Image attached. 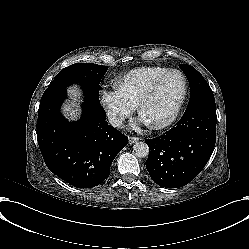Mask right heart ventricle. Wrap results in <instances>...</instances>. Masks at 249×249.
Returning <instances> with one entry per match:
<instances>
[{"mask_svg": "<svg viewBox=\"0 0 249 249\" xmlns=\"http://www.w3.org/2000/svg\"><path fill=\"white\" fill-rule=\"evenodd\" d=\"M165 73L166 70L159 67L135 69L128 73L118 85L116 94L132 107H136Z\"/></svg>", "mask_w": 249, "mask_h": 249, "instance_id": "1", "label": "right heart ventricle"}]
</instances>
